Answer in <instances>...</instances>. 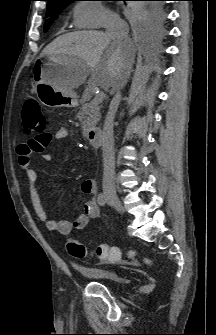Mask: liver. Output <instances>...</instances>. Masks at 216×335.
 <instances>
[{
    "label": "liver",
    "instance_id": "1",
    "mask_svg": "<svg viewBox=\"0 0 216 335\" xmlns=\"http://www.w3.org/2000/svg\"><path fill=\"white\" fill-rule=\"evenodd\" d=\"M135 51V44L129 39L118 42L102 31L89 30L57 37L43 49L42 56L73 59L71 68L64 75L65 82L61 87L64 91H73L85 82L89 74L91 87L115 91L119 69L132 63Z\"/></svg>",
    "mask_w": 216,
    "mask_h": 335
}]
</instances>
